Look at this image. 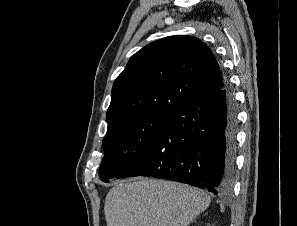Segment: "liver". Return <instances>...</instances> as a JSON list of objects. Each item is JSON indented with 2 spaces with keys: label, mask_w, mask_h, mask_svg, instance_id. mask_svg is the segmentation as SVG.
I'll use <instances>...</instances> for the list:
<instances>
[{
  "label": "liver",
  "mask_w": 297,
  "mask_h": 226,
  "mask_svg": "<svg viewBox=\"0 0 297 226\" xmlns=\"http://www.w3.org/2000/svg\"><path fill=\"white\" fill-rule=\"evenodd\" d=\"M211 202L200 189L172 181H119L105 199L107 226H187Z\"/></svg>",
  "instance_id": "1"
}]
</instances>
